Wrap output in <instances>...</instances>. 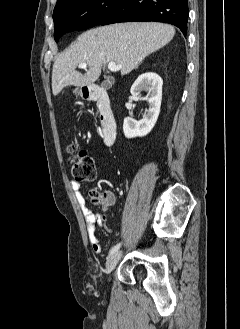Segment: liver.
Masks as SVG:
<instances>
[{
  "mask_svg": "<svg viewBox=\"0 0 240 329\" xmlns=\"http://www.w3.org/2000/svg\"><path fill=\"white\" fill-rule=\"evenodd\" d=\"M174 35V27L153 22L118 23L86 31L54 62L53 95L69 85L93 84L102 66L109 62L121 64V75H126L145 57L167 45ZM81 63L89 67L85 74L75 70Z\"/></svg>",
  "mask_w": 240,
  "mask_h": 329,
  "instance_id": "liver-1",
  "label": "liver"
}]
</instances>
